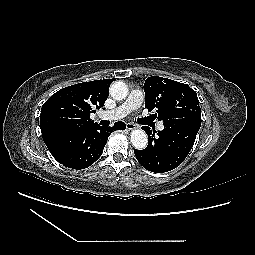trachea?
<instances>
[{"mask_svg":"<svg viewBox=\"0 0 255 255\" xmlns=\"http://www.w3.org/2000/svg\"><path fill=\"white\" fill-rule=\"evenodd\" d=\"M106 122H107V121H104V120H103V121H101L100 123H101L102 125H104Z\"/></svg>","mask_w":255,"mask_h":255,"instance_id":"obj_1","label":"trachea"}]
</instances>
